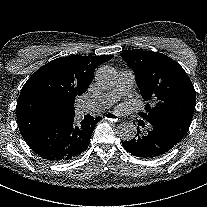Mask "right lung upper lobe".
Returning <instances> with one entry per match:
<instances>
[{
  "label": "right lung upper lobe",
  "instance_id": "cb5924a9",
  "mask_svg": "<svg viewBox=\"0 0 207 207\" xmlns=\"http://www.w3.org/2000/svg\"><path fill=\"white\" fill-rule=\"evenodd\" d=\"M113 55L60 57L39 68L25 83L16 116L25 139L74 116L77 96L87 91L95 69Z\"/></svg>",
  "mask_w": 207,
  "mask_h": 207
}]
</instances>
